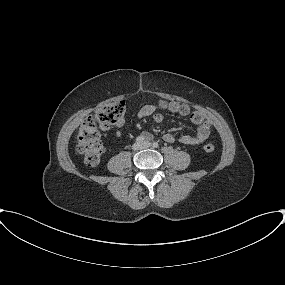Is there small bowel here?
I'll return each mask as SVG.
<instances>
[{
	"instance_id": "1",
	"label": "small bowel",
	"mask_w": 285,
	"mask_h": 285,
	"mask_svg": "<svg viewBox=\"0 0 285 285\" xmlns=\"http://www.w3.org/2000/svg\"><path fill=\"white\" fill-rule=\"evenodd\" d=\"M138 118H148L151 117L154 122L161 123L164 119V115L160 112L159 108L155 105H145L137 113ZM125 123V119L122 117L116 124V135L118 137L122 136L121 128ZM197 125V131L195 134H183L179 137L174 136L171 133H166L163 135V140L168 143H173L178 141L184 145H199L202 144L209 137L210 134V124L206 120L200 122H194ZM102 129L107 130L108 126H103ZM143 138L151 140L153 138L152 134L145 132L142 134Z\"/></svg>"
}]
</instances>
